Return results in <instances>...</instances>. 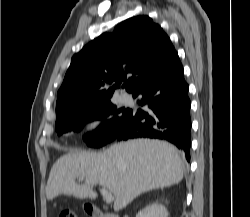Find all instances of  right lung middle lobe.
<instances>
[{"label": "right lung middle lobe", "instance_id": "obj_1", "mask_svg": "<svg viewBox=\"0 0 250 217\" xmlns=\"http://www.w3.org/2000/svg\"><path fill=\"white\" fill-rule=\"evenodd\" d=\"M122 113V115H118ZM131 110L117 109L111 101H105L88 108L76 110L56 121L58 135L66 132H79L85 123L93 120H104L84 140L90 147H101L115 140L122 128L128 122Z\"/></svg>", "mask_w": 250, "mask_h": 217}]
</instances>
